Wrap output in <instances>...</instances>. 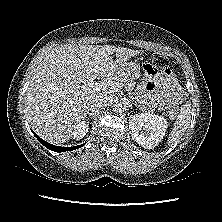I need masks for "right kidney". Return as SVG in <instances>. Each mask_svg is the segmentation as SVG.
<instances>
[{"label": "right kidney", "mask_w": 222, "mask_h": 222, "mask_svg": "<svg viewBox=\"0 0 222 222\" xmlns=\"http://www.w3.org/2000/svg\"><path fill=\"white\" fill-rule=\"evenodd\" d=\"M88 129H89V122L81 121L74 126L71 137L76 140L82 139L88 132Z\"/></svg>", "instance_id": "right-kidney-1"}]
</instances>
